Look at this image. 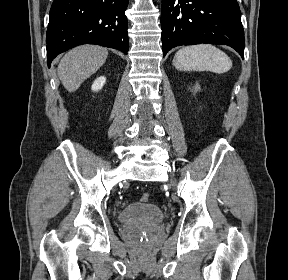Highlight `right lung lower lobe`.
Instances as JSON below:
<instances>
[{"label":"right lung lower lobe","instance_id":"1","mask_svg":"<svg viewBox=\"0 0 288 280\" xmlns=\"http://www.w3.org/2000/svg\"><path fill=\"white\" fill-rule=\"evenodd\" d=\"M129 0H54L46 34L47 62L82 44H98L127 54Z\"/></svg>","mask_w":288,"mask_h":280}]
</instances>
